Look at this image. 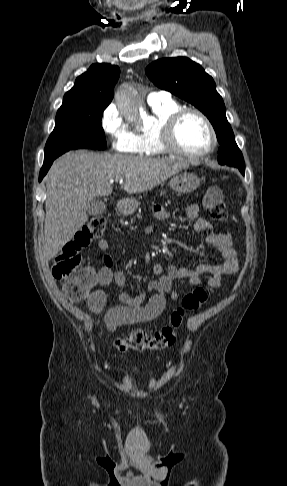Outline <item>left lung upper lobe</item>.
Wrapping results in <instances>:
<instances>
[{"mask_svg": "<svg viewBox=\"0 0 287 486\" xmlns=\"http://www.w3.org/2000/svg\"><path fill=\"white\" fill-rule=\"evenodd\" d=\"M145 72L156 86L190 102L207 116L221 144L220 164L235 166L240 171L245 169L223 99L216 91L213 78L199 64L187 57L164 58L151 63Z\"/></svg>", "mask_w": 287, "mask_h": 486, "instance_id": "left-lung-upper-lobe-1", "label": "left lung upper lobe"}]
</instances>
